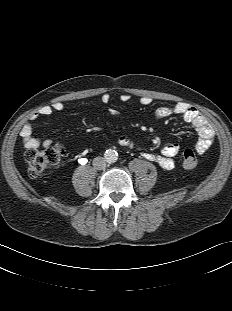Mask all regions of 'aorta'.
I'll return each instance as SVG.
<instances>
[{
	"instance_id": "aorta-1",
	"label": "aorta",
	"mask_w": 232,
	"mask_h": 311,
	"mask_svg": "<svg viewBox=\"0 0 232 311\" xmlns=\"http://www.w3.org/2000/svg\"><path fill=\"white\" fill-rule=\"evenodd\" d=\"M104 158L108 163H114L118 159V153L115 150L108 149L104 153Z\"/></svg>"
}]
</instances>
